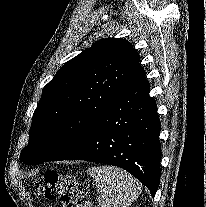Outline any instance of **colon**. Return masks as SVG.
<instances>
[{
    "instance_id": "1",
    "label": "colon",
    "mask_w": 206,
    "mask_h": 207,
    "mask_svg": "<svg viewBox=\"0 0 206 207\" xmlns=\"http://www.w3.org/2000/svg\"><path fill=\"white\" fill-rule=\"evenodd\" d=\"M40 191L47 199L58 200L61 207H83L84 193L76 180L55 170L45 173Z\"/></svg>"
}]
</instances>
